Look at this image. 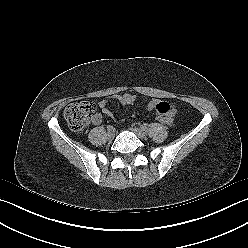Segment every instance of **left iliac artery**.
I'll return each instance as SVG.
<instances>
[{"label": "left iliac artery", "instance_id": "obj_1", "mask_svg": "<svg viewBox=\"0 0 248 248\" xmlns=\"http://www.w3.org/2000/svg\"><path fill=\"white\" fill-rule=\"evenodd\" d=\"M141 129L146 131L147 130V125L146 124L141 125Z\"/></svg>", "mask_w": 248, "mask_h": 248}]
</instances>
